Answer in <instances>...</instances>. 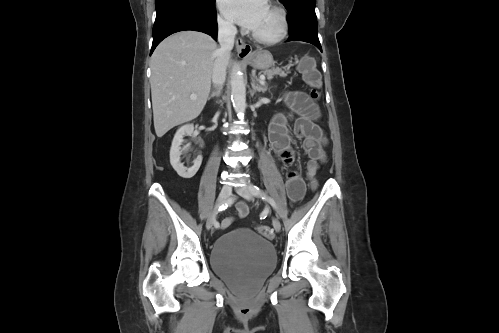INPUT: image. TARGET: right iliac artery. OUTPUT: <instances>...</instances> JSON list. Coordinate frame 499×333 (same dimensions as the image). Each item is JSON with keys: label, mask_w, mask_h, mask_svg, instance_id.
Wrapping results in <instances>:
<instances>
[{"label": "right iliac artery", "mask_w": 499, "mask_h": 333, "mask_svg": "<svg viewBox=\"0 0 499 333\" xmlns=\"http://www.w3.org/2000/svg\"><path fill=\"white\" fill-rule=\"evenodd\" d=\"M234 202V198L231 197L229 198L226 202L222 203L220 206H219V211L221 210H225L228 206H231V204Z\"/></svg>", "instance_id": "right-iliac-artery-1"}]
</instances>
